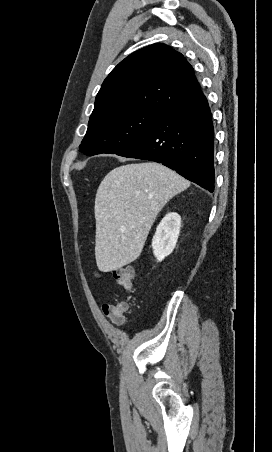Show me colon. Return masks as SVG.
Here are the masks:
<instances>
[{
	"mask_svg": "<svg viewBox=\"0 0 272 452\" xmlns=\"http://www.w3.org/2000/svg\"><path fill=\"white\" fill-rule=\"evenodd\" d=\"M135 273L131 267H122L115 271V279L125 290H131L134 283ZM108 312L117 315H126L129 310V304L121 302L117 304L108 303L106 305Z\"/></svg>",
	"mask_w": 272,
	"mask_h": 452,
	"instance_id": "obj_1",
	"label": "colon"
}]
</instances>
